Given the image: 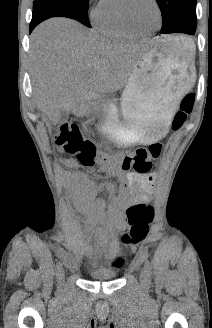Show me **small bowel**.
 I'll use <instances>...</instances> for the list:
<instances>
[{"instance_id": "c3829d8e", "label": "small bowel", "mask_w": 212, "mask_h": 328, "mask_svg": "<svg viewBox=\"0 0 212 328\" xmlns=\"http://www.w3.org/2000/svg\"><path fill=\"white\" fill-rule=\"evenodd\" d=\"M68 167H75L72 159L63 160ZM104 177H115L121 183L120 194L111 181L98 182ZM154 172L138 173L131 170H113L112 173L94 174V179L78 173L70 177L72 195L74 199L84 207L87 213V225L89 230L98 238L104 239L114 230L123 227L120 221L121 213L136 201L146 200L143 195L125 197L126 193H141L146 187L156 181ZM108 194V199L102 193ZM119 267L121 264L114 263Z\"/></svg>"}]
</instances>
